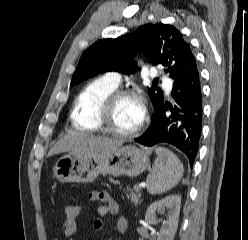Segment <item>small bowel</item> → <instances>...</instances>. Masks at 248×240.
<instances>
[{
	"label": "small bowel",
	"instance_id": "obj_1",
	"mask_svg": "<svg viewBox=\"0 0 248 240\" xmlns=\"http://www.w3.org/2000/svg\"><path fill=\"white\" fill-rule=\"evenodd\" d=\"M90 200L100 202L102 205L98 208V215L102 218L112 217L117 213L118 205L113 197L104 191H94L89 195ZM118 229L121 232H126L128 228L127 220L124 217H119L117 221ZM103 228V220L95 219L92 222V230L94 233H101ZM77 230L76 218L65 219L62 227L63 234L66 238H71ZM58 240V239H56Z\"/></svg>",
	"mask_w": 248,
	"mask_h": 240
}]
</instances>
